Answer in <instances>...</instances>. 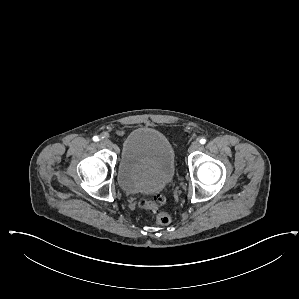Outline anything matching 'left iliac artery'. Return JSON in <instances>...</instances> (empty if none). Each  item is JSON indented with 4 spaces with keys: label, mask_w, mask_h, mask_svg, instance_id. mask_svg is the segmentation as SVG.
Masks as SVG:
<instances>
[{
    "label": "left iliac artery",
    "mask_w": 299,
    "mask_h": 299,
    "mask_svg": "<svg viewBox=\"0 0 299 299\" xmlns=\"http://www.w3.org/2000/svg\"><path fill=\"white\" fill-rule=\"evenodd\" d=\"M199 142H200V144H205L206 143V139L201 138Z\"/></svg>",
    "instance_id": "obj_1"
}]
</instances>
